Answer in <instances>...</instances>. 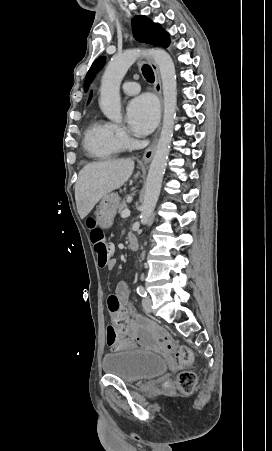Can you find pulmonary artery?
<instances>
[{
    "instance_id": "e3ab8cb5",
    "label": "pulmonary artery",
    "mask_w": 272,
    "mask_h": 451,
    "mask_svg": "<svg viewBox=\"0 0 272 451\" xmlns=\"http://www.w3.org/2000/svg\"><path fill=\"white\" fill-rule=\"evenodd\" d=\"M122 89L127 95H135L140 91V86L135 82H126L123 84Z\"/></svg>"
}]
</instances>
